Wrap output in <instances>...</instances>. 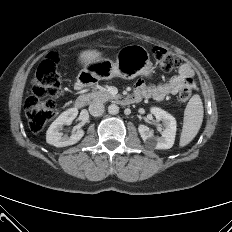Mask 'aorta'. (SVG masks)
I'll return each mask as SVG.
<instances>
[{
	"mask_svg": "<svg viewBox=\"0 0 232 232\" xmlns=\"http://www.w3.org/2000/svg\"><path fill=\"white\" fill-rule=\"evenodd\" d=\"M108 112L111 115H116L119 113V107L116 104H111L108 106Z\"/></svg>",
	"mask_w": 232,
	"mask_h": 232,
	"instance_id": "762f6f07",
	"label": "aorta"
}]
</instances>
